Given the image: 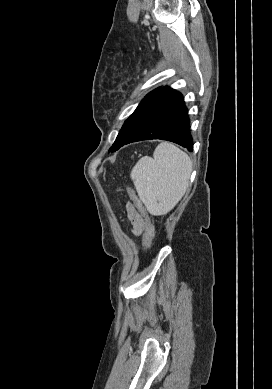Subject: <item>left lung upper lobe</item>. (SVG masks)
I'll return each mask as SVG.
<instances>
[{
    "instance_id": "left-lung-upper-lobe-1",
    "label": "left lung upper lobe",
    "mask_w": 272,
    "mask_h": 389,
    "mask_svg": "<svg viewBox=\"0 0 272 389\" xmlns=\"http://www.w3.org/2000/svg\"><path fill=\"white\" fill-rule=\"evenodd\" d=\"M160 89L161 88H157V89L153 90L152 92H150L149 94H147L145 96V98L140 102V104L138 105V107L136 108L134 113L124 122V125L122 126V129L120 130V132L116 138V141L114 142V144L110 148L111 152H114L117 150V147L120 144L121 139L126 134V132L130 129L132 124L136 121V119L138 118L139 114L141 113L142 109L144 108V106L146 105L148 100Z\"/></svg>"
}]
</instances>
